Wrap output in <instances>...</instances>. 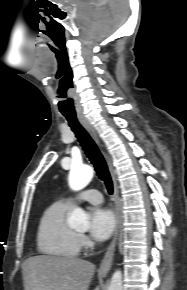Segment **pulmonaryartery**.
Masks as SVG:
<instances>
[{
	"mask_svg": "<svg viewBox=\"0 0 187 290\" xmlns=\"http://www.w3.org/2000/svg\"><path fill=\"white\" fill-rule=\"evenodd\" d=\"M79 200L87 201L91 204H100L103 201L102 194L97 190H88L82 193L79 197ZM74 198H68L65 202L69 205L73 204Z\"/></svg>",
	"mask_w": 187,
	"mask_h": 290,
	"instance_id": "pulmonary-artery-1",
	"label": "pulmonary artery"
}]
</instances>
